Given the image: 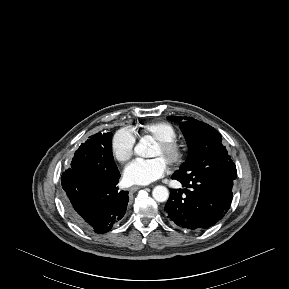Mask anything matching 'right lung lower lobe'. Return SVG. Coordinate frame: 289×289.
Instances as JSON below:
<instances>
[{
	"mask_svg": "<svg viewBox=\"0 0 289 289\" xmlns=\"http://www.w3.org/2000/svg\"><path fill=\"white\" fill-rule=\"evenodd\" d=\"M119 178L117 167L96 172L84 165L62 174L65 206L81 228L102 234L123 218L129 197L128 191L118 190Z\"/></svg>",
	"mask_w": 289,
	"mask_h": 289,
	"instance_id": "right-lung-lower-lobe-1",
	"label": "right lung lower lobe"
}]
</instances>
